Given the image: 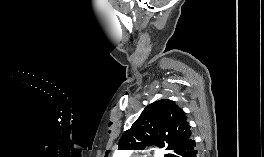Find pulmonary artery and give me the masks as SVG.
Returning a JSON list of instances; mask_svg holds the SVG:
<instances>
[{
    "label": "pulmonary artery",
    "instance_id": "obj_1",
    "mask_svg": "<svg viewBox=\"0 0 264 157\" xmlns=\"http://www.w3.org/2000/svg\"><path fill=\"white\" fill-rule=\"evenodd\" d=\"M121 154L127 157L129 152L128 151H123V152H121Z\"/></svg>",
    "mask_w": 264,
    "mask_h": 157
}]
</instances>
